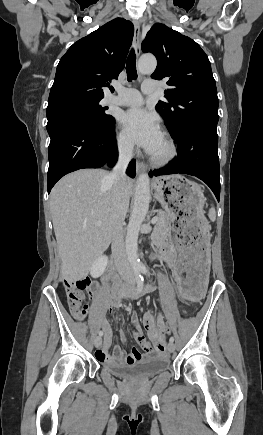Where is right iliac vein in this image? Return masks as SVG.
<instances>
[{
    "label": "right iliac vein",
    "mask_w": 263,
    "mask_h": 435,
    "mask_svg": "<svg viewBox=\"0 0 263 435\" xmlns=\"http://www.w3.org/2000/svg\"><path fill=\"white\" fill-rule=\"evenodd\" d=\"M102 344V338L100 336L96 337L94 340V345L96 348H99Z\"/></svg>",
    "instance_id": "right-iliac-vein-1"
}]
</instances>
